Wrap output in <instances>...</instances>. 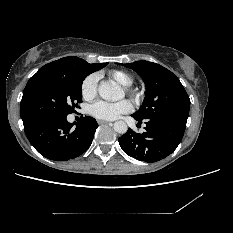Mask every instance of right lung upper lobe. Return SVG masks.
I'll return each instance as SVG.
<instances>
[{
	"label": "right lung upper lobe",
	"mask_w": 233,
	"mask_h": 233,
	"mask_svg": "<svg viewBox=\"0 0 233 233\" xmlns=\"http://www.w3.org/2000/svg\"><path fill=\"white\" fill-rule=\"evenodd\" d=\"M98 64H89L85 60L70 56V57H64L59 60L53 61L51 63H48L44 65L42 68L38 70V72L30 78L28 81L31 82L35 77H37L40 74H46V73H71L76 70V68L81 66H88V67H96ZM27 83V85H28ZM26 85V86H27ZM26 89V87H25ZM24 89V90H25ZM22 118V116H21ZM24 126L29 125L28 123H24Z\"/></svg>",
	"instance_id": "cb5924a9"
}]
</instances>
